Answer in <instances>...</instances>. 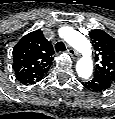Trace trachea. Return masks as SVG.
<instances>
[{
	"label": "trachea",
	"instance_id": "trachea-1",
	"mask_svg": "<svg viewBox=\"0 0 115 119\" xmlns=\"http://www.w3.org/2000/svg\"><path fill=\"white\" fill-rule=\"evenodd\" d=\"M56 52H63L66 50V46L62 41H59L55 45Z\"/></svg>",
	"mask_w": 115,
	"mask_h": 119
}]
</instances>
